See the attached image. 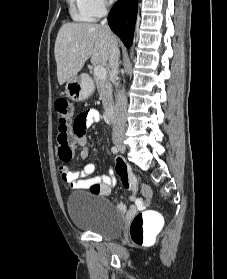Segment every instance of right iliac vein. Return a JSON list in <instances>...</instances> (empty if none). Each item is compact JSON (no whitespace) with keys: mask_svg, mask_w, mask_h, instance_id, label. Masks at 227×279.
I'll return each mask as SVG.
<instances>
[{"mask_svg":"<svg viewBox=\"0 0 227 279\" xmlns=\"http://www.w3.org/2000/svg\"><path fill=\"white\" fill-rule=\"evenodd\" d=\"M114 144L121 152H125L126 147L121 139H115Z\"/></svg>","mask_w":227,"mask_h":279,"instance_id":"right-iliac-vein-1","label":"right iliac vein"}]
</instances>
